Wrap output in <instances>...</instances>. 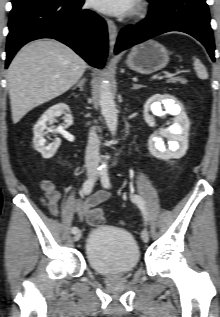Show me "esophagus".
Returning <instances> with one entry per match:
<instances>
[{
    "mask_svg": "<svg viewBox=\"0 0 220 317\" xmlns=\"http://www.w3.org/2000/svg\"><path fill=\"white\" fill-rule=\"evenodd\" d=\"M107 27H108V37H109V46H110V53L113 54L114 45L116 43V38L118 35V29L116 24L110 20H106Z\"/></svg>",
    "mask_w": 220,
    "mask_h": 317,
    "instance_id": "esophagus-1",
    "label": "esophagus"
}]
</instances>
